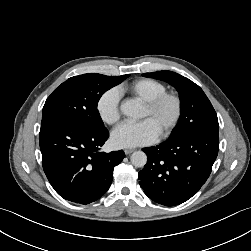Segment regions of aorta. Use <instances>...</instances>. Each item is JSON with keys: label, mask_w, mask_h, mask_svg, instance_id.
Wrapping results in <instances>:
<instances>
[{"label": "aorta", "mask_w": 251, "mask_h": 251, "mask_svg": "<svg viewBox=\"0 0 251 251\" xmlns=\"http://www.w3.org/2000/svg\"><path fill=\"white\" fill-rule=\"evenodd\" d=\"M120 110L122 114L132 118L140 116V106L134 100H128L121 104ZM130 161L135 167H144L147 163V156L143 151H136L130 156Z\"/></svg>", "instance_id": "762f6f07"}]
</instances>
